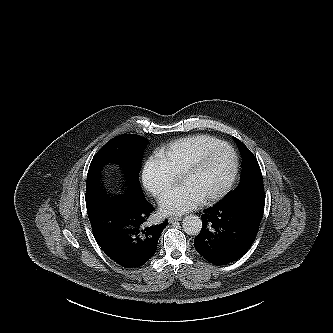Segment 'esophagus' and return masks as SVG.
Returning a JSON list of instances; mask_svg holds the SVG:
<instances>
[{
    "label": "esophagus",
    "instance_id": "1",
    "mask_svg": "<svg viewBox=\"0 0 333 333\" xmlns=\"http://www.w3.org/2000/svg\"><path fill=\"white\" fill-rule=\"evenodd\" d=\"M181 220V217L179 216H171L169 217V223H173L175 221H180Z\"/></svg>",
    "mask_w": 333,
    "mask_h": 333
}]
</instances>
